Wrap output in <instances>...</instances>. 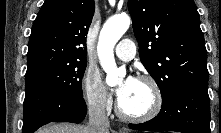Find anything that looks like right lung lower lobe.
<instances>
[{"label":"right lung lower lobe","mask_w":221,"mask_h":133,"mask_svg":"<svg viewBox=\"0 0 221 133\" xmlns=\"http://www.w3.org/2000/svg\"><path fill=\"white\" fill-rule=\"evenodd\" d=\"M23 133H34L50 122L80 123L87 113L83 97H71L40 85H25Z\"/></svg>","instance_id":"98d812e1"}]
</instances>
